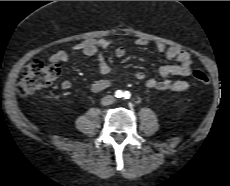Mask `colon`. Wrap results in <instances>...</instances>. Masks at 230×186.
Segmentation results:
<instances>
[{"label":"colon","mask_w":230,"mask_h":186,"mask_svg":"<svg viewBox=\"0 0 230 186\" xmlns=\"http://www.w3.org/2000/svg\"><path fill=\"white\" fill-rule=\"evenodd\" d=\"M60 75V68L55 64H46L39 60L30 62L24 69L22 78L18 84L21 95H31L39 90L49 87ZM192 78L203 85L210 83L209 76L200 70L191 72Z\"/></svg>","instance_id":"5ec220e1"}]
</instances>
